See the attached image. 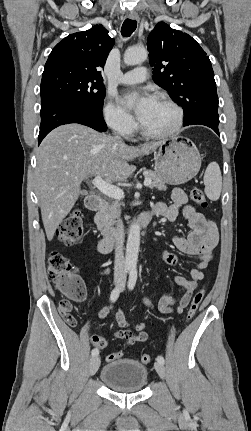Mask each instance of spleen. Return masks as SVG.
Segmentation results:
<instances>
[{
    "instance_id": "1",
    "label": "spleen",
    "mask_w": 251,
    "mask_h": 431,
    "mask_svg": "<svg viewBox=\"0 0 251 431\" xmlns=\"http://www.w3.org/2000/svg\"><path fill=\"white\" fill-rule=\"evenodd\" d=\"M203 181L206 196L212 201L218 200L222 189V176L218 163L211 162L207 166Z\"/></svg>"
}]
</instances>
